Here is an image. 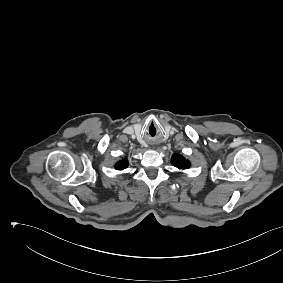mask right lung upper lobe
<instances>
[{"mask_svg":"<svg viewBox=\"0 0 283 283\" xmlns=\"http://www.w3.org/2000/svg\"><path fill=\"white\" fill-rule=\"evenodd\" d=\"M127 166H128L127 160H122V161H120V162H118V163L116 164L115 168H116L117 170H123V169L126 168Z\"/></svg>","mask_w":283,"mask_h":283,"instance_id":"obj_1","label":"right lung upper lobe"}]
</instances>
